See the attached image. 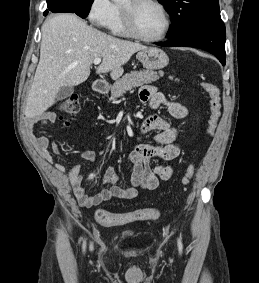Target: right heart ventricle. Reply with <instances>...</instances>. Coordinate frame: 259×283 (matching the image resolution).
Wrapping results in <instances>:
<instances>
[{
  "mask_svg": "<svg viewBox=\"0 0 259 283\" xmlns=\"http://www.w3.org/2000/svg\"><path fill=\"white\" fill-rule=\"evenodd\" d=\"M106 26L115 35L122 37L129 36L123 24L122 13L119 4L114 5L113 14Z\"/></svg>",
  "mask_w": 259,
  "mask_h": 283,
  "instance_id": "right-heart-ventricle-1",
  "label": "right heart ventricle"
}]
</instances>
